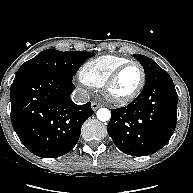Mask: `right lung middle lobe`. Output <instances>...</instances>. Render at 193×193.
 Returning a JSON list of instances; mask_svg holds the SVG:
<instances>
[{
	"label": "right lung middle lobe",
	"instance_id": "obj_1",
	"mask_svg": "<svg viewBox=\"0 0 193 193\" xmlns=\"http://www.w3.org/2000/svg\"><path fill=\"white\" fill-rule=\"evenodd\" d=\"M94 55V53L84 51L61 52L47 49L23 63L15 77L28 74H49L72 80L82 63Z\"/></svg>",
	"mask_w": 193,
	"mask_h": 193
}]
</instances>
